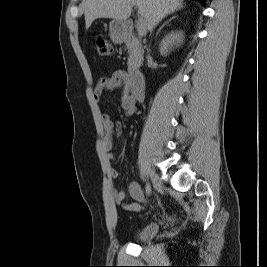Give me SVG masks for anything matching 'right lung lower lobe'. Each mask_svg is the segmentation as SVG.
Segmentation results:
<instances>
[{
	"label": "right lung lower lobe",
	"instance_id": "right-lung-lower-lobe-1",
	"mask_svg": "<svg viewBox=\"0 0 267 267\" xmlns=\"http://www.w3.org/2000/svg\"><path fill=\"white\" fill-rule=\"evenodd\" d=\"M197 1H199L201 4L205 3V0H197Z\"/></svg>",
	"mask_w": 267,
	"mask_h": 267
}]
</instances>
